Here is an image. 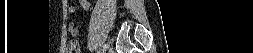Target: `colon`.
<instances>
[{
	"label": "colon",
	"mask_w": 253,
	"mask_h": 53,
	"mask_svg": "<svg viewBox=\"0 0 253 53\" xmlns=\"http://www.w3.org/2000/svg\"><path fill=\"white\" fill-rule=\"evenodd\" d=\"M69 52L70 53H79V44L76 40H72L69 43Z\"/></svg>",
	"instance_id": "1"
}]
</instances>
